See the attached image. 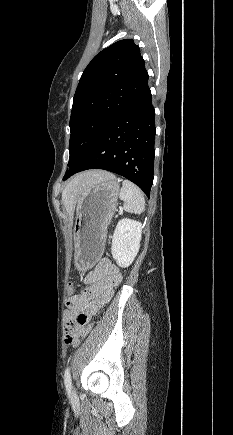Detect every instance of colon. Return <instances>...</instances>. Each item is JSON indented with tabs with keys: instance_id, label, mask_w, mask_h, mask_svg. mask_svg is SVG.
Segmentation results:
<instances>
[{
	"instance_id": "1",
	"label": "colon",
	"mask_w": 233,
	"mask_h": 435,
	"mask_svg": "<svg viewBox=\"0 0 233 435\" xmlns=\"http://www.w3.org/2000/svg\"><path fill=\"white\" fill-rule=\"evenodd\" d=\"M67 294H72L74 292V287L71 283H67ZM65 342L68 346L76 345L77 339L73 334L72 327L70 325H65Z\"/></svg>"
}]
</instances>
